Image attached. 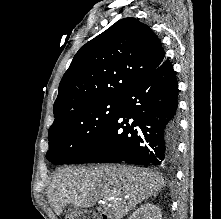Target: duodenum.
Segmentation results:
<instances>
[{
	"label": "duodenum",
	"mask_w": 221,
	"mask_h": 219,
	"mask_svg": "<svg viewBox=\"0 0 221 219\" xmlns=\"http://www.w3.org/2000/svg\"><path fill=\"white\" fill-rule=\"evenodd\" d=\"M98 219H112V217H110L109 215L105 214V213H101L99 215Z\"/></svg>",
	"instance_id": "obj_1"
}]
</instances>
